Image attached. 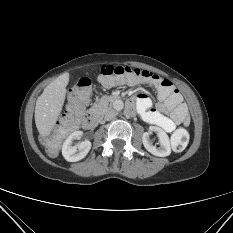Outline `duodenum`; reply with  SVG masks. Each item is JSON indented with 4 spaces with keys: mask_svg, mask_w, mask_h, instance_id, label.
Returning <instances> with one entry per match:
<instances>
[{
    "mask_svg": "<svg viewBox=\"0 0 233 233\" xmlns=\"http://www.w3.org/2000/svg\"><path fill=\"white\" fill-rule=\"evenodd\" d=\"M126 109L130 113H132L134 110L133 103L130 100L127 101ZM98 120H99V114L97 112L95 111L88 112L83 120V126L86 129H91L97 125Z\"/></svg>",
    "mask_w": 233,
    "mask_h": 233,
    "instance_id": "duodenum-1",
    "label": "duodenum"
}]
</instances>
